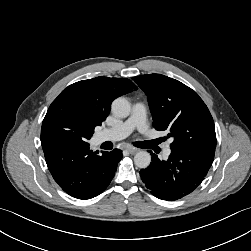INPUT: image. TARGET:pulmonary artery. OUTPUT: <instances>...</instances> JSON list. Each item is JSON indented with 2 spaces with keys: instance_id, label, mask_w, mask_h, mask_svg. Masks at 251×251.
Returning <instances> with one entry per match:
<instances>
[{
  "instance_id": "1",
  "label": "pulmonary artery",
  "mask_w": 251,
  "mask_h": 251,
  "mask_svg": "<svg viewBox=\"0 0 251 251\" xmlns=\"http://www.w3.org/2000/svg\"><path fill=\"white\" fill-rule=\"evenodd\" d=\"M135 129L142 134H147L149 131L146 119V107L141 102L134 104L131 115L125 121L117 126L101 131L97 136V140L99 142L121 140L130 135ZM163 153L165 156L170 155L171 150L169 146L164 148Z\"/></svg>"
}]
</instances>
